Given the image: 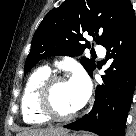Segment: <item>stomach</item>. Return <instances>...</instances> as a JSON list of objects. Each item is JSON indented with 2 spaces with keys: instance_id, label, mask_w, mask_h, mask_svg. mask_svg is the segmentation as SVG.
<instances>
[{
  "instance_id": "stomach-1",
  "label": "stomach",
  "mask_w": 136,
  "mask_h": 136,
  "mask_svg": "<svg viewBox=\"0 0 136 136\" xmlns=\"http://www.w3.org/2000/svg\"><path fill=\"white\" fill-rule=\"evenodd\" d=\"M54 136H78V135H76V134H70L68 132H64V133L56 134Z\"/></svg>"
}]
</instances>
